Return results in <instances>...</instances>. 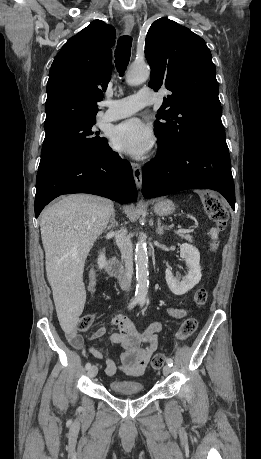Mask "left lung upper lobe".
<instances>
[{
	"label": "left lung upper lobe",
	"instance_id": "obj_1",
	"mask_svg": "<svg viewBox=\"0 0 261 459\" xmlns=\"http://www.w3.org/2000/svg\"><path fill=\"white\" fill-rule=\"evenodd\" d=\"M145 56L151 68L149 87L170 91L154 122L158 139L183 148L203 137L225 136L216 68L205 41L163 17L148 30Z\"/></svg>",
	"mask_w": 261,
	"mask_h": 459
}]
</instances>
